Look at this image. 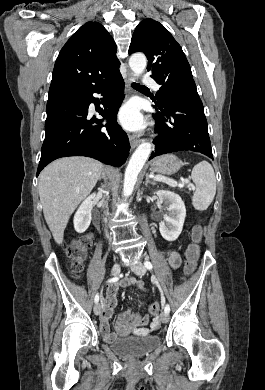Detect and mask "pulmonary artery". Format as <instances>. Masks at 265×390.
Here are the masks:
<instances>
[{"instance_id": "e3ab8cb5", "label": "pulmonary artery", "mask_w": 265, "mask_h": 390, "mask_svg": "<svg viewBox=\"0 0 265 390\" xmlns=\"http://www.w3.org/2000/svg\"><path fill=\"white\" fill-rule=\"evenodd\" d=\"M143 83L145 84V85H147V86H150V87H152L154 90H159V88H160V86H159V84L156 82V81H154L151 77H149V76H145L144 78H143Z\"/></svg>"}]
</instances>
